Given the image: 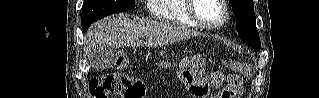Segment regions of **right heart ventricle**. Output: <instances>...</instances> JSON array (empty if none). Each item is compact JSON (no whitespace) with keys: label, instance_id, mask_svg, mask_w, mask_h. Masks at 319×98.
<instances>
[{"label":"right heart ventricle","instance_id":"1","mask_svg":"<svg viewBox=\"0 0 319 98\" xmlns=\"http://www.w3.org/2000/svg\"><path fill=\"white\" fill-rule=\"evenodd\" d=\"M151 15L160 21L200 28L187 12V0H149Z\"/></svg>","mask_w":319,"mask_h":98}]
</instances>
